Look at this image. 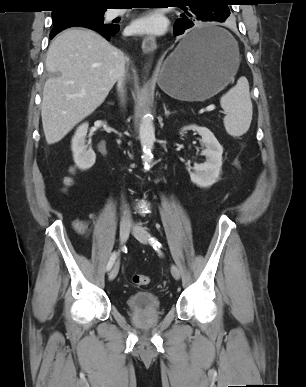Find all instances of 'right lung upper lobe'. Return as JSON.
<instances>
[{"label": "right lung upper lobe", "mask_w": 306, "mask_h": 387, "mask_svg": "<svg viewBox=\"0 0 306 387\" xmlns=\"http://www.w3.org/2000/svg\"><path fill=\"white\" fill-rule=\"evenodd\" d=\"M58 1V9L53 12L70 6H92V7H101L106 9L105 7L110 4V0H57Z\"/></svg>", "instance_id": "right-lung-upper-lobe-1"}]
</instances>
